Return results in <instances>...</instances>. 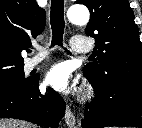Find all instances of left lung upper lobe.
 Returning a JSON list of instances; mask_svg holds the SVG:
<instances>
[{"mask_svg": "<svg viewBox=\"0 0 142 128\" xmlns=\"http://www.w3.org/2000/svg\"><path fill=\"white\" fill-rule=\"evenodd\" d=\"M91 17L85 29L95 38V63L83 72L100 89L112 85L142 88V43L128 0H77Z\"/></svg>", "mask_w": 142, "mask_h": 128, "instance_id": "left-lung-upper-lobe-1", "label": "left lung upper lobe"}]
</instances>
